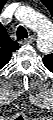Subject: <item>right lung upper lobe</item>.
<instances>
[{
	"label": "right lung upper lobe",
	"instance_id": "right-lung-upper-lobe-1",
	"mask_svg": "<svg viewBox=\"0 0 53 120\" xmlns=\"http://www.w3.org/2000/svg\"><path fill=\"white\" fill-rule=\"evenodd\" d=\"M0 31V66L4 67L11 57V53L18 50L19 45L16 41L10 39L4 27L1 25Z\"/></svg>",
	"mask_w": 53,
	"mask_h": 120
}]
</instances>
